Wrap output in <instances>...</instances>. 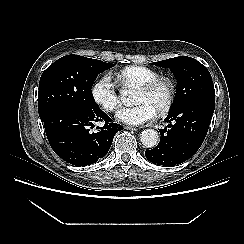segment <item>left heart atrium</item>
<instances>
[{
	"label": "left heart atrium",
	"instance_id": "left-heart-atrium-1",
	"mask_svg": "<svg viewBox=\"0 0 244 244\" xmlns=\"http://www.w3.org/2000/svg\"><path fill=\"white\" fill-rule=\"evenodd\" d=\"M156 110L147 103H139L133 107L120 109L116 118L118 121L128 125H142L154 119Z\"/></svg>",
	"mask_w": 244,
	"mask_h": 244
}]
</instances>
